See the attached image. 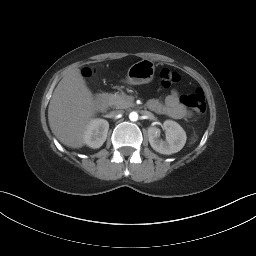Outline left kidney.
<instances>
[{"instance_id": "obj_1", "label": "left kidney", "mask_w": 256, "mask_h": 256, "mask_svg": "<svg viewBox=\"0 0 256 256\" xmlns=\"http://www.w3.org/2000/svg\"><path fill=\"white\" fill-rule=\"evenodd\" d=\"M166 132V140L160 139V129L150 126L148 128V138L151 147L158 153L170 155L180 151L186 143V132L175 121L166 120L163 123Z\"/></svg>"}]
</instances>
